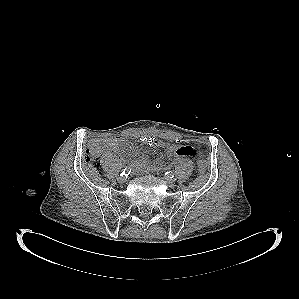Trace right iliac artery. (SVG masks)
<instances>
[{
  "label": "right iliac artery",
  "instance_id": "obj_1",
  "mask_svg": "<svg viewBox=\"0 0 299 299\" xmlns=\"http://www.w3.org/2000/svg\"><path fill=\"white\" fill-rule=\"evenodd\" d=\"M131 168L130 167H126V168H124L123 170H122V172H121V176H128L130 173H131Z\"/></svg>",
  "mask_w": 299,
  "mask_h": 299
}]
</instances>
